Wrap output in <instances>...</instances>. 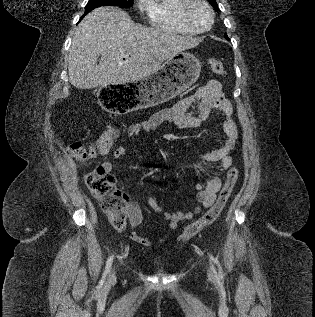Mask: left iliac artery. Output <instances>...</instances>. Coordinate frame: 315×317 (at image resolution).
<instances>
[{
	"instance_id": "44dca946",
	"label": "left iliac artery",
	"mask_w": 315,
	"mask_h": 317,
	"mask_svg": "<svg viewBox=\"0 0 315 317\" xmlns=\"http://www.w3.org/2000/svg\"><path fill=\"white\" fill-rule=\"evenodd\" d=\"M209 258H210V261H213L215 264H217L218 270H219V276L222 278L223 277V272H222V268L220 266L219 261L216 258H214L211 254L209 255Z\"/></svg>"
}]
</instances>
